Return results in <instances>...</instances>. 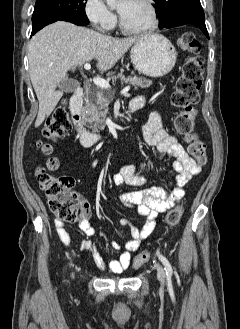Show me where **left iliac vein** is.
<instances>
[{
	"label": "left iliac vein",
	"mask_w": 240,
	"mask_h": 329,
	"mask_svg": "<svg viewBox=\"0 0 240 329\" xmlns=\"http://www.w3.org/2000/svg\"><path fill=\"white\" fill-rule=\"evenodd\" d=\"M157 277L159 281L163 284L165 282V272L160 264H156Z\"/></svg>",
	"instance_id": "4c4485c4"
}]
</instances>
